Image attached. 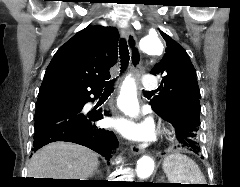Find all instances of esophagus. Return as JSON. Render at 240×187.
Returning <instances> with one entry per match:
<instances>
[{
  "label": "esophagus",
  "instance_id": "obj_1",
  "mask_svg": "<svg viewBox=\"0 0 240 187\" xmlns=\"http://www.w3.org/2000/svg\"><path fill=\"white\" fill-rule=\"evenodd\" d=\"M129 50H130V71L131 73L138 78L139 77V69L141 65V55L138 47L137 38L135 36L134 31L127 26L124 32ZM145 145H135L131 146V151L133 154H142L145 152Z\"/></svg>",
  "mask_w": 240,
  "mask_h": 187
}]
</instances>
